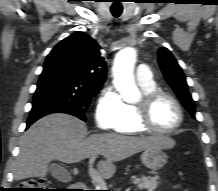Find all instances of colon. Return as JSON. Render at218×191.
I'll return each instance as SVG.
<instances>
[{"label": "colon", "instance_id": "colon-1", "mask_svg": "<svg viewBox=\"0 0 218 191\" xmlns=\"http://www.w3.org/2000/svg\"><path fill=\"white\" fill-rule=\"evenodd\" d=\"M19 191H65L59 189H51L48 180L44 178L30 179L21 184ZM184 191H188L185 189Z\"/></svg>", "mask_w": 218, "mask_h": 191}]
</instances>
